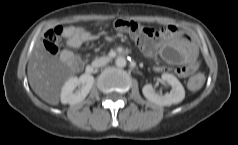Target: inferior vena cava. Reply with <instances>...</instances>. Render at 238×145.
Returning a JSON list of instances; mask_svg holds the SVG:
<instances>
[{
	"label": "inferior vena cava",
	"instance_id": "inferior-vena-cava-1",
	"mask_svg": "<svg viewBox=\"0 0 238 145\" xmlns=\"http://www.w3.org/2000/svg\"><path fill=\"white\" fill-rule=\"evenodd\" d=\"M107 62H108L107 58L101 57L93 60L91 65L93 68H99L104 66Z\"/></svg>",
	"mask_w": 238,
	"mask_h": 145
}]
</instances>
